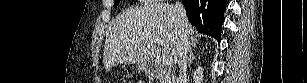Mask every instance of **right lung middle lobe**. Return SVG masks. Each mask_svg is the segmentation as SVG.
Listing matches in <instances>:
<instances>
[{"mask_svg":"<svg viewBox=\"0 0 307 83\" xmlns=\"http://www.w3.org/2000/svg\"><path fill=\"white\" fill-rule=\"evenodd\" d=\"M120 0H116L114 3V7H116L119 4Z\"/></svg>","mask_w":307,"mask_h":83,"instance_id":"dd1d6c3e","label":"right lung middle lobe"}]
</instances>
